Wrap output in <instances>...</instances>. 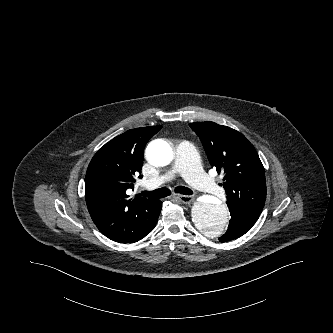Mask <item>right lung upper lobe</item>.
Here are the masks:
<instances>
[{
	"label": "right lung upper lobe",
	"instance_id": "cb5924a9",
	"mask_svg": "<svg viewBox=\"0 0 333 333\" xmlns=\"http://www.w3.org/2000/svg\"><path fill=\"white\" fill-rule=\"evenodd\" d=\"M162 126L126 131L101 147L92 158L85 177V199L97 228L107 237L119 236L130 220L156 200L143 197L129 199L134 189L148 140ZM141 178V175H139Z\"/></svg>",
	"mask_w": 333,
	"mask_h": 333
}]
</instances>
